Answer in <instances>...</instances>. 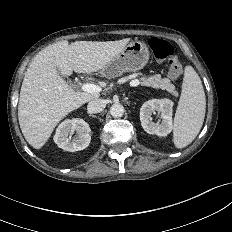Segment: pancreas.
<instances>
[{"instance_id": "obj_1", "label": "pancreas", "mask_w": 232, "mask_h": 232, "mask_svg": "<svg viewBox=\"0 0 232 232\" xmlns=\"http://www.w3.org/2000/svg\"><path fill=\"white\" fill-rule=\"evenodd\" d=\"M141 84L155 89L166 90L173 96H178V92L175 90V86L170 83V80L168 78H161L158 74L150 77H142Z\"/></svg>"}]
</instances>
